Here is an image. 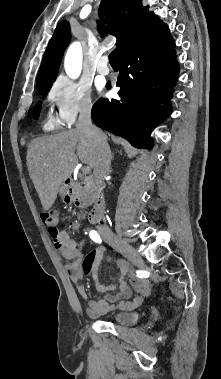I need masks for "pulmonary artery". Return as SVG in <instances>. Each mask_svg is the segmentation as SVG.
<instances>
[{
	"label": "pulmonary artery",
	"mask_w": 221,
	"mask_h": 379,
	"mask_svg": "<svg viewBox=\"0 0 221 379\" xmlns=\"http://www.w3.org/2000/svg\"><path fill=\"white\" fill-rule=\"evenodd\" d=\"M108 64V58L107 56H102L97 64V72L101 75H107L110 73V68L107 65Z\"/></svg>",
	"instance_id": "pulmonary-artery-1"
}]
</instances>
